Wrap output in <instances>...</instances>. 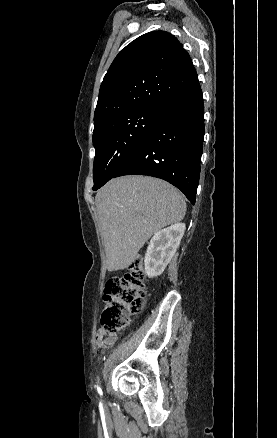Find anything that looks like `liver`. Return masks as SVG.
I'll return each instance as SVG.
<instances>
[{
	"mask_svg": "<svg viewBox=\"0 0 277 438\" xmlns=\"http://www.w3.org/2000/svg\"><path fill=\"white\" fill-rule=\"evenodd\" d=\"M95 204L109 272L129 268L145 242L181 222L187 208L177 188L149 176L110 180L98 190Z\"/></svg>",
	"mask_w": 277,
	"mask_h": 438,
	"instance_id": "1",
	"label": "liver"
}]
</instances>
